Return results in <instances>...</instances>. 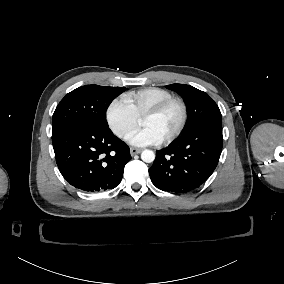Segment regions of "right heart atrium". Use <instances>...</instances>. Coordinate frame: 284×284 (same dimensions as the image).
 <instances>
[{
  "label": "right heart atrium",
  "instance_id": "1",
  "mask_svg": "<svg viewBox=\"0 0 284 284\" xmlns=\"http://www.w3.org/2000/svg\"><path fill=\"white\" fill-rule=\"evenodd\" d=\"M105 121L111 133L123 140L137 126L139 117L121 98H115L106 107Z\"/></svg>",
  "mask_w": 284,
  "mask_h": 284
}]
</instances>
